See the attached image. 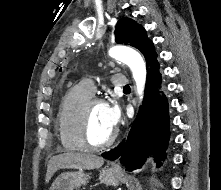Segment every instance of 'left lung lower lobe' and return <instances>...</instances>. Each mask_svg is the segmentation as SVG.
Masks as SVG:
<instances>
[{
  "mask_svg": "<svg viewBox=\"0 0 221 190\" xmlns=\"http://www.w3.org/2000/svg\"><path fill=\"white\" fill-rule=\"evenodd\" d=\"M159 68L156 60L147 69L143 105L126 141L123 140L118 147L102 154L109 160L120 156L121 162L130 172L141 168L150 153L154 155L157 167L161 165L160 160L166 157L170 118L168 101L161 88L162 76Z\"/></svg>",
  "mask_w": 221,
  "mask_h": 190,
  "instance_id": "left-lung-lower-lobe-1",
  "label": "left lung lower lobe"
}]
</instances>
